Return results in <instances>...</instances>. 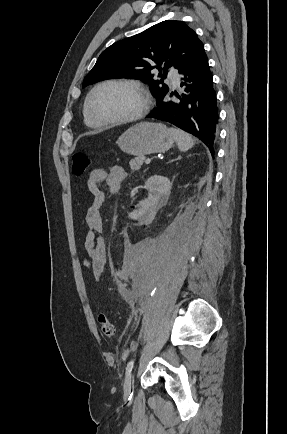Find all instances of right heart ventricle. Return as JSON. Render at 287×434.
<instances>
[{
	"mask_svg": "<svg viewBox=\"0 0 287 434\" xmlns=\"http://www.w3.org/2000/svg\"><path fill=\"white\" fill-rule=\"evenodd\" d=\"M83 115H84V122H85V124L86 125H88V126H92V127H96V126H98V125H96L89 117H88V115L86 114V112H85V109H84V111H83Z\"/></svg>",
	"mask_w": 287,
	"mask_h": 434,
	"instance_id": "obj_1",
	"label": "right heart ventricle"
}]
</instances>
